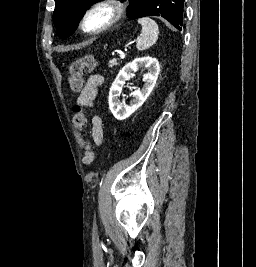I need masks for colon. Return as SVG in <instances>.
<instances>
[{
    "mask_svg": "<svg viewBox=\"0 0 256 267\" xmlns=\"http://www.w3.org/2000/svg\"><path fill=\"white\" fill-rule=\"evenodd\" d=\"M96 65V60L92 56H85L66 64L67 76L70 89L73 93H79L84 89V78ZM73 121L77 130L84 131L87 126V113L79 104L72 107ZM94 161V151L85 144L84 163L87 166L92 165Z\"/></svg>",
    "mask_w": 256,
    "mask_h": 267,
    "instance_id": "5ec220e1",
    "label": "colon"
}]
</instances>
